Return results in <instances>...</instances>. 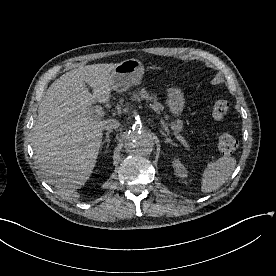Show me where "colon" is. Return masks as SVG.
<instances>
[{"label": "colon", "instance_id": "colon-1", "mask_svg": "<svg viewBox=\"0 0 276 276\" xmlns=\"http://www.w3.org/2000/svg\"><path fill=\"white\" fill-rule=\"evenodd\" d=\"M228 111L229 103L222 97H216L210 106V114L215 120L223 119L227 115ZM217 146L220 153L229 155L237 149L238 141L232 134L222 132L218 136Z\"/></svg>", "mask_w": 276, "mask_h": 276}]
</instances>
